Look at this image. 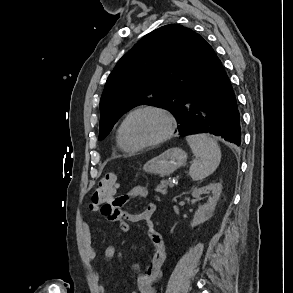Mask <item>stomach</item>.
Wrapping results in <instances>:
<instances>
[{
    "instance_id": "stomach-1",
    "label": "stomach",
    "mask_w": 293,
    "mask_h": 293,
    "mask_svg": "<svg viewBox=\"0 0 293 293\" xmlns=\"http://www.w3.org/2000/svg\"><path fill=\"white\" fill-rule=\"evenodd\" d=\"M187 154L178 147L170 148L162 154L148 160L143 165V170L150 174L169 176L175 170L186 164Z\"/></svg>"
}]
</instances>
